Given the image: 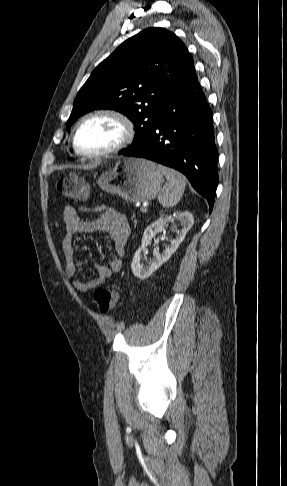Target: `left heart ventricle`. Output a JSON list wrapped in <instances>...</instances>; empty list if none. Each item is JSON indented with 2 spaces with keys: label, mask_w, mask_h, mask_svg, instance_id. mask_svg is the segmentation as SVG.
<instances>
[{
  "label": "left heart ventricle",
  "mask_w": 287,
  "mask_h": 486,
  "mask_svg": "<svg viewBox=\"0 0 287 486\" xmlns=\"http://www.w3.org/2000/svg\"><path fill=\"white\" fill-rule=\"evenodd\" d=\"M121 134L118 122L108 117H96L80 127L77 145L84 152H100L114 146Z\"/></svg>",
  "instance_id": "left-heart-ventricle-1"
}]
</instances>
